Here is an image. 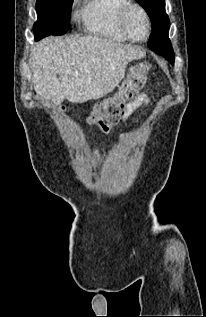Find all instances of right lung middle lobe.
Here are the masks:
<instances>
[{"mask_svg":"<svg viewBox=\"0 0 206 317\" xmlns=\"http://www.w3.org/2000/svg\"><path fill=\"white\" fill-rule=\"evenodd\" d=\"M73 0H37L35 41L49 35H63L69 29Z\"/></svg>","mask_w":206,"mask_h":317,"instance_id":"obj_1","label":"right lung middle lobe"}]
</instances>
